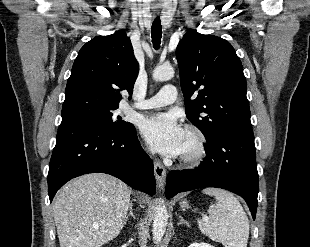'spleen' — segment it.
I'll return each instance as SVG.
<instances>
[{
    "mask_svg": "<svg viewBox=\"0 0 310 247\" xmlns=\"http://www.w3.org/2000/svg\"><path fill=\"white\" fill-rule=\"evenodd\" d=\"M203 193L214 196L216 203L209 206V216L197 220L201 233L225 247H247L249 220L238 199L219 188L204 189Z\"/></svg>",
    "mask_w": 310,
    "mask_h": 247,
    "instance_id": "3e777b00",
    "label": "spleen"
}]
</instances>
